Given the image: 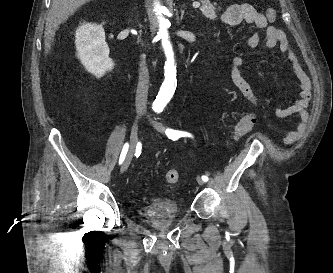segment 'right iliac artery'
I'll return each instance as SVG.
<instances>
[{"label":"right iliac artery","instance_id":"82829eb1","mask_svg":"<svg viewBox=\"0 0 333 273\" xmlns=\"http://www.w3.org/2000/svg\"><path fill=\"white\" fill-rule=\"evenodd\" d=\"M128 148H129V144L128 143H125L124 146H123V149H122V152H121V155H120V158H119V164H122L125 157H126V154L128 152Z\"/></svg>","mask_w":333,"mask_h":273}]
</instances>
